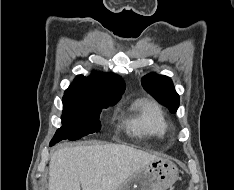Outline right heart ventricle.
<instances>
[{
	"mask_svg": "<svg viewBox=\"0 0 234 190\" xmlns=\"http://www.w3.org/2000/svg\"><path fill=\"white\" fill-rule=\"evenodd\" d=\"M131 115L126 120L129 132L140 137L163 138L169 125L160 107L149 99H138L130 107Z\"/></svg>",
	"mask_w": 234,
	"mask_h": 190,
	"instance_id": "e07e8e85",
	"label": "right heart ventricle"
}]
</instances>
